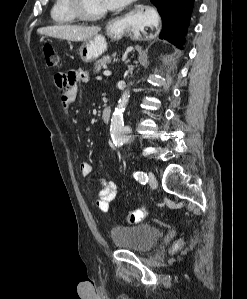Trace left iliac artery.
<instances>
[{
	"label": "left iliac artery",
	"mask_w": 247,
	"mask_h": 299,
	"mask_svg": "<svg viewBox=\"0 0 247 299\" xmlns=\"http://www.w3.org/2000/svg\"><path fill=\"white\" fill-rule=\"evenodd\" d=\"M134 177L141 184H146L148 182V176L144 172H142V171L135 172L134 173Z\"/></svg>",
	"instance_id": "obj_1"
}]
</instances>
